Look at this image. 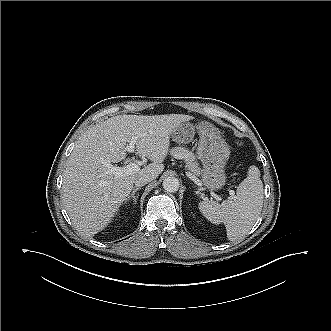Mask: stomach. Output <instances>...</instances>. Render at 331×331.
I'll return each mask as SVG.
<instances>
[{
    "mask_svg": "<svg viewBox=\"0 0 331 331\" xmlns=\"http://www.w3.org/2000/svg\"><path fill=\"white\" fill-rule=\"evenodd\" d=\"M171 136L176 143H186L193 136V127L190 123H182ZM197 155L203 165L200 174L203 185L210 190L221 189L226 183L224 167L230 155L226 141L219 133L205 130L200 134Z\"/></svg>",
    "mask_w": 331,
    "mask_h": 331,
    "instance_id": "0dacf381",
    "label": "stomach"
}]
</instances>
